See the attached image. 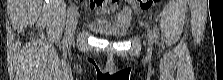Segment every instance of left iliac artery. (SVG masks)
<instances>
[{"mask_svg":"<svg viewBox=\"0 0 223 80\" xmlns=\"http://www.w3.org/2000/svg\"><path fill=\"white\" fill-rule=\"evenodd\" d=\"M153 33H154V36H155V39H156V42H157V38H158V30L156 28V26L154 25L153 27Z\"/></svg>","mask_w":223,"mask_h":80,"instance_id":"1","label":"left iliac artery"}]
</instances>
